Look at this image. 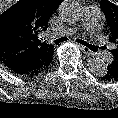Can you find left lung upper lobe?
Instances as JSON below:
<instances>
[{
	"instance_id": "left-lung-upper-lobe-1",
	"label": "left lung upper lobe",
	"mask_w": 118,
	"mask_h": 118,
	"mask_svg": "<svg viewBox=\"0 0 118 118\" xmlns=\"http://www.w3.org/2000/svg\"><path fill=\"white\" fill-rule=\"evenodd\" d=\"M100 5L111 32L109 41L114 44V48L111 50L113 61L108 65L107 72L114 78H118V6L108 0H102Z\"/></svg>"
}]
</instances>
